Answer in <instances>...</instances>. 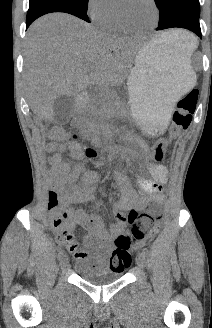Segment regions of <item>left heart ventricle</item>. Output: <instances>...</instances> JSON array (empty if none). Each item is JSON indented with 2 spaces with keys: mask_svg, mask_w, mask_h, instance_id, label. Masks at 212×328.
Listing matches in <instances>:
<instances>
[{
  "mask_svg": "<svg viewBox=\"0 0 212 328\" xmlns=\"http://www.w3.org/2000/svg\"><path fill=\"white\" fill-rule=\"evenodd\" d=\"M120 8L126 21L133 27H148L155 20V11L149 0H121Z\"/></svg>",
  "mask_w": 212,
  "mask_h": 328,
  "instance_id": "b2bd125f",
  "label": "left heart ventricle"
}]
</instances>
